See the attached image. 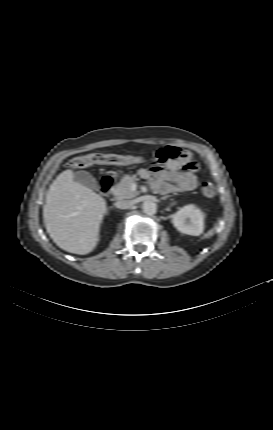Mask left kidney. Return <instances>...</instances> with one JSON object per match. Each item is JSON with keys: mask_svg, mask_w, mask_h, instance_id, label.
<instances>
[{"mask_svg": "<svg viewBox=\"0 0 273 430\" xmlns=\"http://www.w3.org/2000/svg\"><path fill=\"white\" fill-rule=\"evenodd\" d=\"M204 213L195 205L189 204L173 215L172 223L181 233L199 236L204 230Z\"/></svg>", "mask_w": 273, "mask_h": 430, "instance_id": "5707ae66", "label": "left kidney"}]
</instances>
